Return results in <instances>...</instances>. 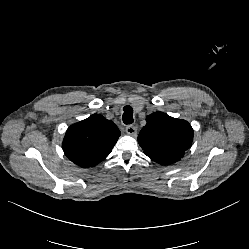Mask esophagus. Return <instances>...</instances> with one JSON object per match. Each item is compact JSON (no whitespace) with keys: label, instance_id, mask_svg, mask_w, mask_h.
<instances>
[{"label":"esophagus","instance_id":"34e87169","mask_svg":"<svg viewBox=\"0 0 249 249\" xmlns=\"http://www.w3.org/2000/svg\"><path fill=\"white\" fill-rule=\"evenodd\" d=\"M125 131L128 135H131V136L137 135V128L134 125H128Z\"/></svg>","mask_w":249,"mask_h":249}]
</instances>
